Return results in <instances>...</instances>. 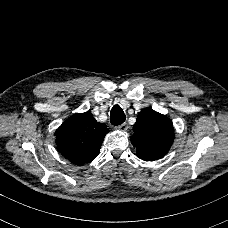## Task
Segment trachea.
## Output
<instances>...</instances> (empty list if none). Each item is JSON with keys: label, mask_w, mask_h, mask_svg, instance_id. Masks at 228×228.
Instances as JSON below:
<instances>
[{"label": "trachea", "mask_w": 228, "mask_h": 228, "mask_svg": "<svg viewBox=\"0 0 228 228\" xmlns=\"http://www.w3.org/2000/svg\"><path fill=\"white\" fill-rule=\"evenodd\" d=\"M126 120V116L119 105H115L111 109L110 121L114 126L121 125Z\"/></svg>", "instance_id": "obj_1"}]
</instances>
